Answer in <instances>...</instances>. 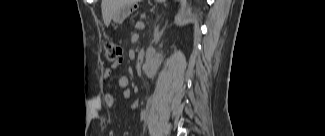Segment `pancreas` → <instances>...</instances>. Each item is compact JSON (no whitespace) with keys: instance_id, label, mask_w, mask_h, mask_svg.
Listing matches in <instances>:
<instances>
[{"instance_id":"obj_1","label":"pancreas","mask_w":325,"mask_h":136,"mask_svg":"<svg viewBox=\"0 0 325 136\" xmlns=\"http://www.w3.org/2000/svg\"><path fill=\"white\" fill-rule=\"evenodd\" d=\"M146 11L145 9H136L135 12H132L130 17L128 18V23L129 24H136L137 19H140L141 16H145Z\"/></svg>"}]
</instances>
